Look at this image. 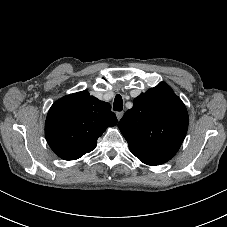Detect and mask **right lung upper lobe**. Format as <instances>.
<instances>
[{
    "label": "right lung upper lobe",
    "instance_id": "cb5924a9",
    "mask_svg": "<svg viewBox=\"0 0 227 227\" xmlns=\"http://www.w3.org/2000/svg\"><path fill=\"white\" fill-rule=\"evenodd\" d=\"M116 124L109 103L82 91L67 95L51 106L45 137L60 158L75 160L91 152L107 127Z\"/></svg>",
    "mask_w": 227,
    "mask_h": 227
}]
</instances>
